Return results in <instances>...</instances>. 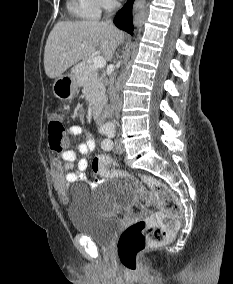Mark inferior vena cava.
Here are the masks:
<instances>
[{
  "instance_id": "602c4592",
  "label": "inferior vena cava",
  "mask_w": 233,
  "mask_h": 284,
  "mask_svg": "<svg viewBox=\"0 0 233 284\" xmlns=\"http://www.w3.org/2000/svg\"><path fill=\"white\" fill-rule=\"evenodd\" d=\"M106 23H108V24H112V20H108Z\"/></svg>"
}]
</instances>
